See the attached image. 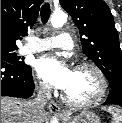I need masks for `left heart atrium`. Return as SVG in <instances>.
I'll return each mask as SVG.
<instances>
[{
	"instance_id": "left-heart-atrium-1",
	"label": "left heart atrium",
	"mask_w": 122,
	"mask_h": 123,
	"mask_svg": "<svg viewBox=\"0 0 122 123\" xmlns=\"http://www.w3.org/2000/svg\"><path fill=\"white\" fill-rule=\"evenodd\" d=\"M36 70L47 84L65 90L70 85L74 70L56 56L46 55L38 59Z\"/></svg>"
}]
</instances>
